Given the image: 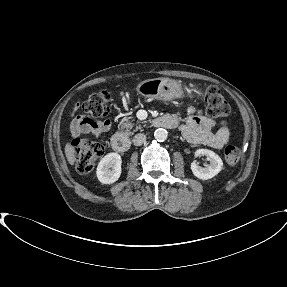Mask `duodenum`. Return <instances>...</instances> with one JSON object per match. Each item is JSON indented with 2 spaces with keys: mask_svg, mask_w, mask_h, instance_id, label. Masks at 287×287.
<instances>
[{
  "mask_svg": "<svg viewBox=\"0 0 287 287\" xmlns=\"http://www.w3.org/2000/svg\"><path fill=\"white\" fill-rule=\"evenodd\" d=\"M153 124L159 127L171 129L175 127L176 123L171 117L161 116L155 118L153 120ZM111 146L116 152H126L130 148V141L124 134L116 133L111 138Z\"/></svg>",
  "mask_w": 287,
  "mask_h": 287,
  "instance_id": "410a0bca",
  "label": "duodenum"
}]
</instances>
